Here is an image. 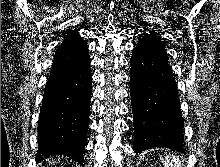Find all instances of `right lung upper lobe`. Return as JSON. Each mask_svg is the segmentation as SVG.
Returning <instances> with one entry per match:
<instances>
[{
	"mask_svg": "<svg viewBox=\"0 0 220 167\" xmlns=\"http://www.w3.org/2000/svg\"><path fill=\"white\" fill-rule=\"evenodd\" d=\"M89 60L88 48L78 30L69 29L63 43L57 47L52 72L75 69Z\"/></svg>",
	"mask_w": 220,
	"mask_h": 167,
	"instance_id": "right-lung-upper-lobe-1",
	"label": "right lung upper lobe"
}]
</instances>
